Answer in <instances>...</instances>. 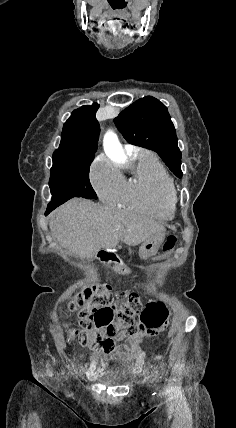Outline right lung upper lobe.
<instances>
[{
    "label": "right lung upper lobe",
    "instance_id": "obj_1",
    "mask_svg": "<svg viewBox=\"0 0 236 428\" xmlns=\"http://www.w3.org/2000/svg\"><path fill=\"white\" fill-rule=\"evenodd\" d=\"M99 105L82 106L72 112L62 131L59 148L53 153V161L75 162L94 159L100 126L96 120Z\"/></svg>",
    "mask_w": 236,
    "mask_h": 428
}]
</instances>
